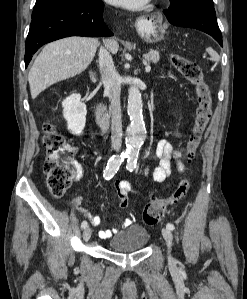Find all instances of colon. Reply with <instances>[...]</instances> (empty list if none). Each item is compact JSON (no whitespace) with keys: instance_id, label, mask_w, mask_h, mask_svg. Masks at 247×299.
<instances>
[{"instance_id":"colon-1","label":"colon","mask_w":247,"mask_h":299,"mask_svg":"<svg viewBox=\"0 0 247 299\" xmlns=\"http://www.w3.org/2000/svg\"><path fill=\"white\" fill-rule=\"evenodd\" d=\"M172 63L194 86L197 98L195 119L186 146V156L188 161L191 162L195 158L196 151L212 115V96L204 80L202 70L196 62L180 54H174ZM43 144L46 149L44 164L46 185L53 196L60 197L70 187L74 177L72 156L75 149L51 122L44 124ZM189 186L190 179L184 177L180 180L171 196L151 199L143 210V222L147 225L158 223L168 207L178 204L184 198Z\"/></svg>"}]
</instances>
